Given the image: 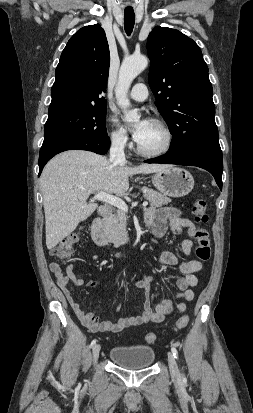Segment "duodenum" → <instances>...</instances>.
<instances>
[{
	"label": "duodenum",
	"mask_w": 253,
	"mask_h": 413,
	"mask_svg": "<svg viewBox=\"0 0 253 413\" xmlns=\"http://www.w3.org/2000/svg\"><path fill=\"white\" fill-rule=\"evenodd\" d=\"M111 216V209L108 206H102L99 208L98 217H96L91 224V236L93 241L102 247L109 249L110 241L105 231V223ZM116 256H121L116 253Z\"/></svg>",
	"instance_id": "duodenum-1"
}]
</instances>
